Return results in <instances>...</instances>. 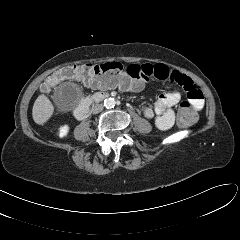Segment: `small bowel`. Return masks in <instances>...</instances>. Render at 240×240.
I'll use <instances>...</instances> for the list:
<instances>
[{"mask_svg": "<svg viewBox=\"0 0 240 240\" xmlns=\"http://www.w3.org/2000/svg\"><path fill=\"white\" fill-rule=\"evenodd\" d=\"M131 73L138 76V81L130 88L139 91L143 83L150 78L159 80H171L176 86L183 89L187 94V99L191 103L195 112L200 111L204 106V96L202 91L194 84L192 79L177 70H170L168 66L162 63L158 64H134L129 66ZM94 88H110L108 86L90 85ZM181 100V94L177 90L165 91L161 93L155 102L154 107L144 106L142 114L147 119L154 118L155 126L160 130L169 129L175 120L174 107Z\"/></svg>", "mask_w": 240, "mask_h": 240, "instance_id": "small-bowel-1", "label": "small bowel"}]
</instances>
